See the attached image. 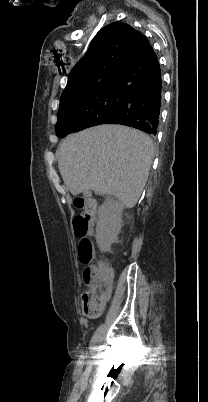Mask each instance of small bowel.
I'll list each match as a JSON object with an SVG mask.
<instances>
[{"mask_svg": "<svg viewBox=\"0 0 208 402\" xmlns=\"http://www.w3.org/2000/svg\"><path fill=\"white\" fill-rule=\"evenodd\" d=\"M84 273H87V269L85 270ZM96 296H98L99 298H101L102 300H104L105 302H107V301H109V300L111 299V296H112V295H96Z\"/></svg>", "mask_w": 208, "mask_h": 402, "instance_id": "small-bowel-1", "label": "small bowel"}]
</instances>
